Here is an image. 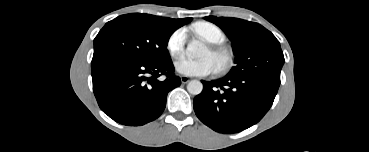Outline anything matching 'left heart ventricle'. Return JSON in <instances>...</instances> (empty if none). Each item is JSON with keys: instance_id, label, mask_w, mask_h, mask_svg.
I'll return each instance as SVG.
<instances>
[{"instance_id": "1", "label": "left heart ventricle", "mask_w": 369, "mask_h": 152, "mask_svg": "<svg viewBox=\"0 0 369 152\" xmlns=\"http://www.w3.org/2000/svg\"><path fill=\"white\" fill-rule=\"evenodd\" d=\"M207 56H212V53L209 51V52L207 53ZM215 60H216V58H215ZM216 62H217V60H216Z\"/></svg>"}]
</instances>
